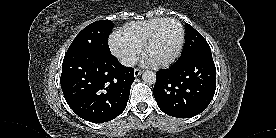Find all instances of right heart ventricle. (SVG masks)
<instances>
[{
	"label": "right heart ventricle",
	"instance_id": "obj_1",
	"mask_svg": "<svg viewBox=\"0 0 276 138\" xmlns=\"http://www.w3.org/2000/svg\"><path fill=\"white\" fill-rule=\"evenodd\" d=\"M163 19L152 18L128 23L118 31L117 36L141 50L152 29Z\"/></svg>",
	"mask_w": 276,
	"mask_h": 138
}]
</instances>
